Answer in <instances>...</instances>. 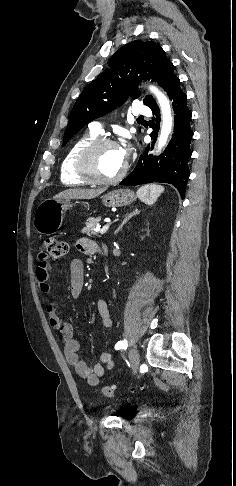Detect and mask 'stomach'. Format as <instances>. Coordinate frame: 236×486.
Masks as SVG:
<instances>
[{"label": "stomach", "mask_w": 236, "mask_h": 486, "mask_svg": "<svg viewBox=\"0 0 236 486\" xmlns=\"http://www.w3.org/2000/svg\"><path fill=\"white\" fill-rule=\"evenodd\" d=\"M136 199L130 189H118L102 196L106 207H122L132 204ZM72 207L67 199H46L41 202L34 214L33 226L43 235H51L61 227L65 212Z\"/></svg>", "instance_id": "0dacf381"}]
</instances>
